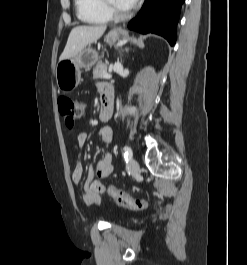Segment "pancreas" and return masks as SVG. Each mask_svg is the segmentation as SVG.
<instances>
[{"label": "pancreas", "mask_w": 247, "mask_h": 265, "mask_svg": "<svg viewBox=\"0 0 247 265\" xmlns=\"http://www.w3.org/2000/svg\"><path fill=\"white\" fill-rule=\"evenodd\" d=\"M106 73H107V65L103 62H100L93 69V78L102 79L104 78V74Z\"/></svg>", "instance_id": "pancreas-1"}]
</instances>
